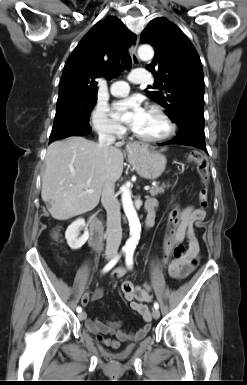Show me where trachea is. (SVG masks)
<instances>
[{
	"mask_svg": "<svg viewBox=\"0 0 247 385\" xmlns=\"http://www.w3.org/2000/svg\"><path fill=\"white\" fill-rule=\"evenodd\" d=\"M131 65H132V61H131V57L128 53V51H123V54H122V61H121V70H129L131 68Z\"/></svg>",
	"mask_w": 247,
	"mask_h": 385,
	"instance_id": "trachea-1",
	"label": "trachea"
}]
</instances>
